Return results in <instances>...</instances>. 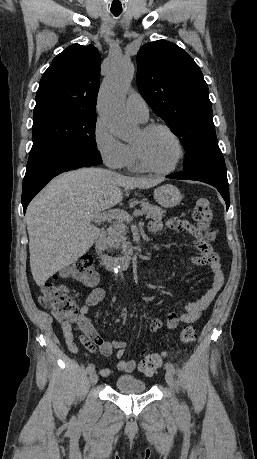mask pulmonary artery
<instances>
[{
  "instance_id": "pulmonary-artery-1",
  "label": "pulmonary artery",
  "mask_w": 257,
  "mask_h": 459,
  "mask_svg": "<svg viewBox=\"0 0 257 459\" xmlns=\"http://www.w3.org/2000/svg\"><path fill=\"white\" fill-rule=\"evenodd\" d=\"M126 109L132 116L141 122H145L148 119V105L142 96L137 92H132L128 95L126 99Z\"/></svg>"
}]
</instances>
